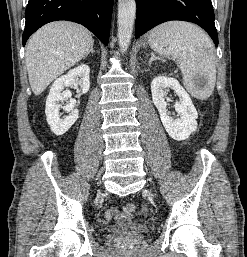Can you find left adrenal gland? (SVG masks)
Wrapping results in <instances>:
<instances>
[{
    "instance_id": "1",
    "label": "left adrenal gland",
    "mask_w": 247,
    "mask_h": 257,
    "mask_svg": "<svg viewBox=\"0 0 247 257\" xmlns=\"http://www.w3.org/2000/svg\"><path fill=\"white\" fill-rule=\"evenodd\" d=\"M154 60H161L162 62L165 61V60L162 59V58L156 57L155 54H154L153 52H151V58H150V60H149V65H151V63H152Z\"/></svg>"
}]
</instances>
